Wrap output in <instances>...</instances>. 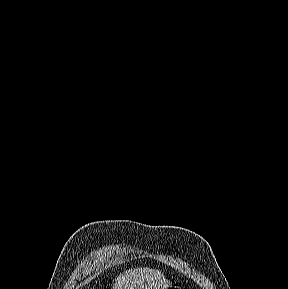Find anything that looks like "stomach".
Masks as SVG:
<instances>
[{
    "instance_id": "stomach-1",
    "label": "stomach",
    "mask_w": 288,
    "mask_h": 289,
    "mask_svg": "<svg viewBox=\"0 0 288 289\" xmlns=\"http://www.w3.org/2000/svg\"><path fill=\"white\" fill-rule=\"evenodd\" d=\"M169 289H179V288L176 286H173V287H170Z\"/></svg>"
}]
</instances>
